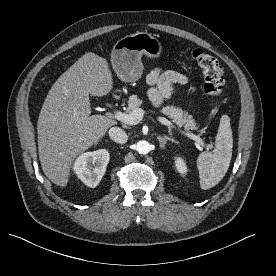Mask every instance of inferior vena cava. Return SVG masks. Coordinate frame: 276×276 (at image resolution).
<instances>
[{"label": "inferior vena cava", "instance_id": "obj_1", "mask_svg": "<svg viewBox=\"0 0 276 276\" xmlns=\"http://www.w3.org/2000/svg\"><path fill=\"white\" fill-rule=\"evenodd\" d=\"M109 136L113 141L120 143V144H124L128 140V136H127L126 132L119 127L110 128Z\"/></svg>", "mask_w": 276, "mask_h": 276}]
</instances>
